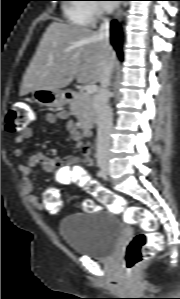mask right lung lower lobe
<instances>
[{"label":"right lung lower lobe","instance_id":"right-lung-lower-lobe-1","mask_svg":"<svg viewBox=\"0 0 180 299\" xmlns=\"http://www.w3.org/2000/svg\"><path fill=\"white\" fill-rule=\"evenodd\" d=\"M111 44L116 50L118 57L122 60L123 54L121 50V29L116 21L111 22Z\"/></svg>","mask_w":180,"mask_h":299}]
</instances>
